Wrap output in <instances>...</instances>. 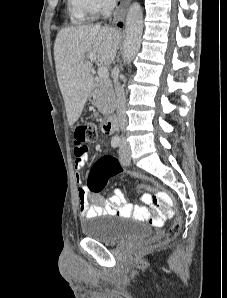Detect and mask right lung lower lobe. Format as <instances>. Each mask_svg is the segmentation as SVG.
I'll list each match as a JSON object with an SVG mask.
<instances>
[{"mask_svg": "<svg viewBox=\"0 0 227 298\" xmlns=\"http://www.w3.org/2000/svg\"><path fill=\"white\" fill-rule=\"evenodd\" d=\"M118 26L122 27V23H119Z\"/></svg>", "mask_w": 227, "mask_h": 298, "instance_id": "obj_1", "label": "right lung lower lobe"}]
</instances>
